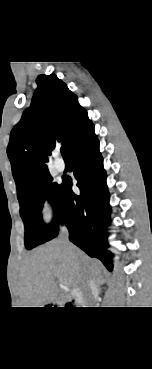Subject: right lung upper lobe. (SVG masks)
Returning a JSON list of instances; mask_svg holds the SVG:
<instances>
[{"label":"right lung upper lobe","mask_w":152,"mask_h":369,"mask_svg":"<svg viewBox=\"0 0 152 369\" xmlns=\"http://www.w3.org/2000/svg\"><path fill=\"white\" fill-rule=\"evenodd\" d=\"M31 106L10 134L7 148L18 199L49 174L51 151L59 144L68 154L94 129L87 111L55 74L40 75Z\"/></svg>","instance_id":"obj_1"}]
</instances>
